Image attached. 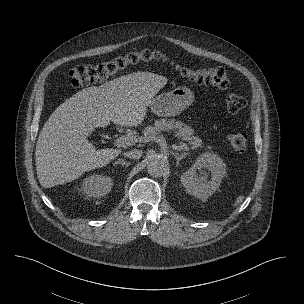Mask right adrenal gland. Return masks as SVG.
Instances as JSON below:
<instances>
[{"label": "right adrenal gland", "instance_id": "2a0ac1e0", "mask_svg": "<svg viewBox=\"0 0 304 304\" xmlns=\"http://www.w3.org/2000/svg\"><path fill=\"white\" fill-rule=\"evenodd\" d=\"M115 164H120L122 166L128 167L130 165V162H126L124 159H118V161H116Z\"/></svg>", "mask_w": 304, "mask_h": 304}]
</instances>
